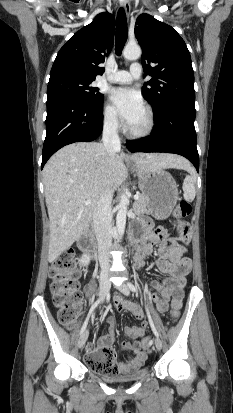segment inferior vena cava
Here are the masks:
<instances>
[{
    "instance_id": "obj_1",
    "label": "inferior vena cava",
    "mask_w": 233,
    "mask_h": 413,
    "mask_svg": "<svg viewBox=\"0 0 233 413\" xmlns=\"http://www.w3.org/2000/svg\"><path fill=\"white\" fill-rule=\"evenodd\" d=\"M116 118L106 119L103 127L102 141L110 157L115 156L121 148ZM113 191L108 187L98 200L93 212V224L98 243V259L101 273H107L110 266L109 249L112 244V214L111 201Z\"/></svg>"
}]
</instances>
